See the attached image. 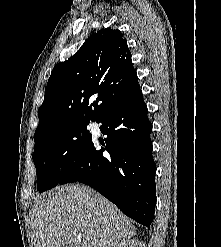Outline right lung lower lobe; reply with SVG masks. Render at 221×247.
Wrapping results in <instances>:
<instances>
[{"label": "right lung lower lobe", "mask_w": 221, "mask_h": 247, "mask_svg": "<svg viewBox=\"0 0 221 247\" xmlns=\"http://www.w3.org/2000/svg\"><path fill=\"white\" fill-rule=\"evenodd\" d=\"M107 135L91 139L59 184L89 185L113 202L124 214L150 229L156 204V165L152 158L147 106L142 91L106 111L98 120Z\"/></svg>", "instance_id": "right-lung-lower-lobe-1"}]
</instances>
